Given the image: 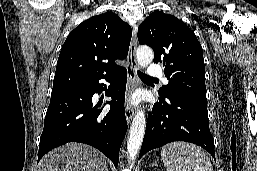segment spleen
Returning a JSON list of instances; mask_svg holds the SVG:
<instances>
[{"instance_id": "1", "label": "spleen", "mask_w": 257, "mask_h": 171, "mask_svg": "<svg viewBox=\"0 0 257 171\" xmlns=\"http://www.w3.org/2000/svg\"><path fill=\"white\" fill-rule=\"evenodd\" d=\"M166 171H213L207 153L191 143L173 142L162 148Z\"/></svg>"}]
</instances>
